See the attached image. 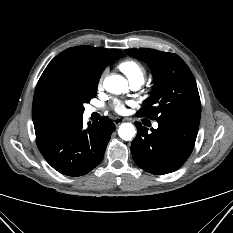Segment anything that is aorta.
Masks as SVG:
<instances>
[{
    "instance_id": "aorta-1",
    "label": "aorta",
    "mask_w": 233,
    "mask_h": 233,
    "mask_svg": "<svg viewBox=\"0 0 233 233\" xmlns=\"http://www.w3.org/2000/svg\"><path fill=\"white\" fill-rule=\"evenodd\" d=\"M104 88L111 93L121 94L125 93L128 90V83L125 78L120 75H112L106 77L104 80ZM136 131L134 126L131 123H123L120 125L118 134L123 140H131Z\"/></svg>"
}]
</instances>
